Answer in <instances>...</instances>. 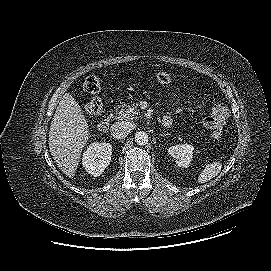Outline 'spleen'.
<instances>
[{
    "instance_id": "3e777b00",
    "label": "spleen",
    "mask_w": 271,
    "mask_h": 271,
    "mask_svg": "<svg viewBox=\"0 0 271 271\" xmlns=\"http://www.w3.org/2000/svg\"><path fill=\"white\" fill-rule=\"evenodd\" d=\"M221 168V162H213L208 164L199 174L197 182L203 184L210 181L219 174Z\"/></svg>"
}]
</instances>
